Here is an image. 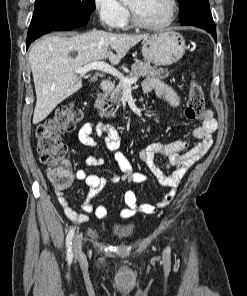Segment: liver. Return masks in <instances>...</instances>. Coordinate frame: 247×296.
<instances>
[{"mask_svg":"<svg viewBox=\"0 0 247 296\" xmlns=\"http://www.w3.org/2000/svg\"><path fill=\"white\" fill-rule=\"evenodd\" d=\"M145 37L92 30L71 37L45 36L36 42L29 52L37 98L33 124L43 121L58 104L82 87L81 78L75 72L77 68L107 58L118 64ZM72 51L77 53L75 57L70 56Z\"/></svg>","mask_w":247,"mask_h":296,"instance_id":"liver-1","label":"liver"}]
</instances>
